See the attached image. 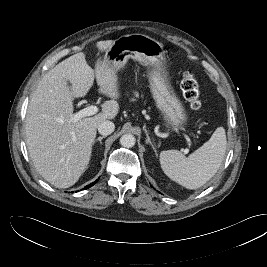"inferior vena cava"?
Here are the masks:
<instances>
[{
    "label": "inferior vena cava",
    "instance_id": "602c4592",
    "mask_svg": "<svg viewBox=\"0 0 267 267\" xmlns=\"http://www.w3.org/2000/svg\"><path fill=\"white\" fill-rule=\"evenodd\" d=\"M115 129V125L111 121H103L99 126H98V132L101 135L107 136L110 135Z\"/></svg>",
    "mask_w": 267,
    "mask_h": 267
}]
</instances>
